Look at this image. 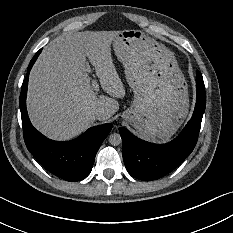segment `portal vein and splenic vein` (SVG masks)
Segmentation results:
<instances>
[{"label": "portal vein and splenic vein", "mask_w": 233, "mask_h": 233, "mask_svg": "<svg viewBox=\"0 0 233 233\" xmlns=\"http://www.w3.org/2000/svg\"><path fill=\"white\" fill-rule=\"evenodd\" d=\"M91 82H92L93 90H95V91L99 90V84H98L97 80L93 79Z\"/></svg>", "instance_id": "portal-vein-and-splenic-vein-1"}]
</instances>
